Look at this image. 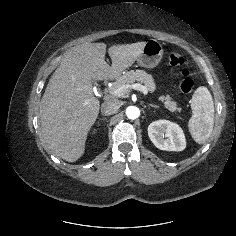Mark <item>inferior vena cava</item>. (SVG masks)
<instances>
[{
  "label": "inferior vena cava",
  "instance_id": "obj_1",
  "mask_svg": "<svg viewBox=\"0 0 236 236\" xmlns=\"http://www.w3.org/2000/svg\"><path fill=\"white\" fill-rule=\"evenodd\" d=\"M120 108V102L116 99H109L102 103L101 112L103 115L109 116L118 111Z\"/></svg>",
  "mask_w": 236,
  "mask_h": 236
}]
</instances>
